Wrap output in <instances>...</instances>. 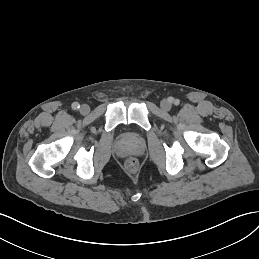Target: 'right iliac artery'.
<instances>
[{
    "label": "right iliac artery",
    "mask_w": 259,
    "mask_h": 259,
    "mask_svg": "<svg viewBox=\"0 0 259 259\" xmlns=\"http://www.w3.org/2000/svg\"><path fill=\"white\" fill-rule=\"evenodd\" d=\"M79 107H80V105H79V103H77V102H74V103L72 104V109H74V110H78Z\"/></svg>",
    "instance_id": "82829eb1"
}]
</instances>
